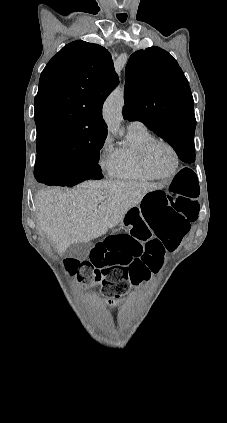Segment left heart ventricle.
Instances as JSON below:
<instances>
[{
  "instance_id": "b2bd125f",
  "label": "left heart ventricle",
  "mask_w": 227,
  "mask_h": 423,
  "mask_svg": "<svg viewBox=\"0 0 227 423\" xmlns=\"http://www.w3.org/2000/svg\"><path fill=\"white\" fill-rule=\"evenodd\" d=\"M148 164L154 173L166 175L173 168V155L165 146L156 144L149 151Z\"/></svg>"
}]
</instances>
